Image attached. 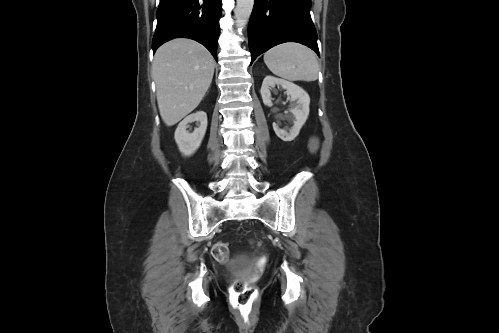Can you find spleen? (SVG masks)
Listing matches in <instances>:
<instances>
[{
	"label": "spleen",
	"mask_w": 499,
	"mask_h": 333,
	"mask_svg": "<svg viewBox=\"0 0 499 333\" xmlns=\"http://www.w3.org/2000/svg\"><path fill=\"white\" fill-rule=\"evenodd\" d=\"M264 62L275 75L290 81H315L319 63L315 53L298 43H284L264 54Z\"/></svg>",
	"instance_id": "3e777b00"
}]
</instances>
